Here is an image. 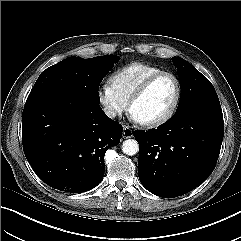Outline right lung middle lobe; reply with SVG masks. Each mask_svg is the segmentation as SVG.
Returning a JSON list of instances; mask_svg holds the SVG:
<instances>
[{
  "instance_id": "obj_1",
  "label": "right lung middle lobe",
  "mask_w": 241,
  "mask_h": 241,
  "mask_svg": "<svg viewBox=\"0 0 241 241\" xmlns=\"http://www.w3.org/2000/svg\"><path fill=\"white\" fill-rule=\"evenodd\" d=\"M119 59L120 57L115 55L89 59L67 58L44 70L38 77L31 93L51 87H65L76 91L92 102L99 103V85L104 75Z\"/></svg>"
}]
</instances>
